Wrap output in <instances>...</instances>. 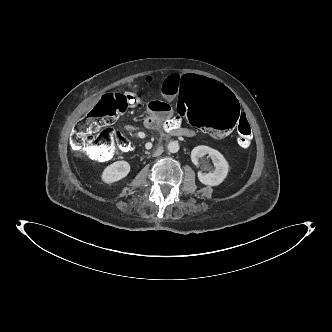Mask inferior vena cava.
Here are the masks:
<instances>
[{
  "mask_svg": "<svg viewBox=\"0 0 332 332\" xmlns=\"http://www.w3.org/2000/svg\"><path fill=\"white\" fill-rule=\"evenodd\" d=\"M162 152H163V148H159V149L154 153V155H155V156H158V155H160Z\"/></svg>",
  "mask_w": 332,
  "mask_h": 332,
  "instance_id": "obj_1",
  "label": "inferior vena cava"
}]
</instances>
